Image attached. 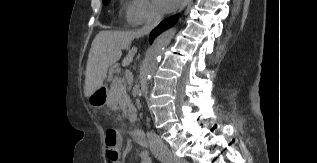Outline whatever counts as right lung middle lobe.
<instances>
[{"label":"right lung middle lobe","instance_id":"1","mask_svg":"<svg viewBox=\"0 0 317 163\" xmlns=\"http://www.w3.org/2000/svg\"><path fill=\"white\" fill-rule=\"evenodd\" d=\"M109 1H110V0H103V3H104L105 5H107V4L109 3Z\"/></svg>","mask_w":317,"mask_h":163}]
</instances>
